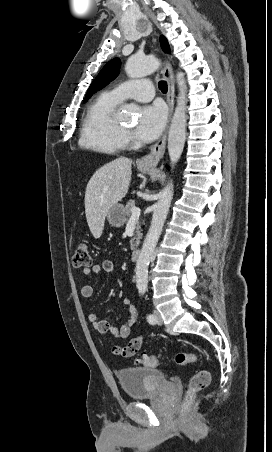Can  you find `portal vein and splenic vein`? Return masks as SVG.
<instances>
[{
    "label": "portal vein and splenic vein",
    "mask_w": 272,
    "mask_h": 452,
    "mask_svg": "<svg viewBox=\"0 0 272 452\" xmlns=\"http://www.w3.org/2000/svg\"><path fill=\"white\" fill-rule=\"evenodd\" d=\"M140 213H141L140 208L134 206V207L132 208L131 219H137V218H139Z\"/></svg>",
    "instance_id": "obj_1"
}]
</instances>
